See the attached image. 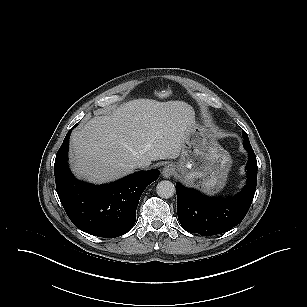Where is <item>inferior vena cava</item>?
Masks as SVG:
<instances>
[{"instance_id":"obj_1","label":"inferior vena cava","mask_w":307,"mask_h":307,"mask_svg":"<svg viewBox=\"0 0 307 307\" xmlns=\"http://www.w3.org/2000/svg\"><path fill=\"white\" fill-rule=\"evenodd\" d=\"M135 167H138V168H145L147 166H149V164L143 160H138L137 162H135Z\"/></svg>"}]
</instances>
